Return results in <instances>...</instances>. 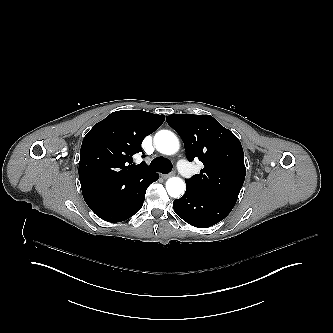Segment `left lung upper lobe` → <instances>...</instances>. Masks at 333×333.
<instances>
[{
	"instance_id": "left-lung-upper-lobe-1",
	"label": "left lung upper lobe",
	"mask_w": 333,
	"mask_h": 333,
	"mask_svg": "<svg viewBox=\"0 0 333 333\" xmlns=\"http://www.w3.org/2000/svg\"><path fill=\"white\" fill-rule=\"evenodd\" d=\"M167 123L182 138L189 161H202L200 174L186 179L195 193L237 201L246 168L239 139L210 115L174 114Z\"/></svg>"
}]
</instances>
